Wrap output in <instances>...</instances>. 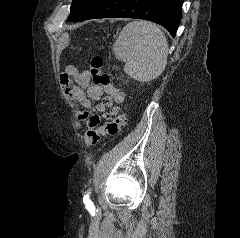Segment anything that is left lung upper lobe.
I'll return each instance as SVG.
<instances>
[{"label": "left lung upper lobe", "instance_id": "obj_1", "mask_svg": "<svg viewBox=\"0 0 240 238\" xmlns=\"http://www.w3.org/2000/svg\"><path fill=\"white\" fill-rule=\"evenodd\" d=\"M90 1L91 0H73L68 21H72L79 17Z\"/></svg>", "mask_w": 240, "mask_h": 238}]
</instances>
